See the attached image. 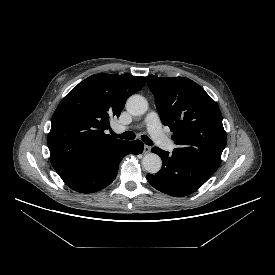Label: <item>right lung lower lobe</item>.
<instances>
[{
  "instance_id": "obj_1",
  "label": "right lung lower lobe",
  "mask_w": 275,
  "mask_h": 275,
  "mask_svg": "<svg viewBox=\"0 0 275 275\" xmlns=\"http://www.w3.org/2000/svg\"><path fill=\"white\" fill-rule=\"evenodd\" d=\"M144 145L141 141H127L109 155L78 168L60 173L64 183L72 190L81 193H93L110 185L116 178L118 166L127 154H141Z\"/></svg>"
}]
</instances>
